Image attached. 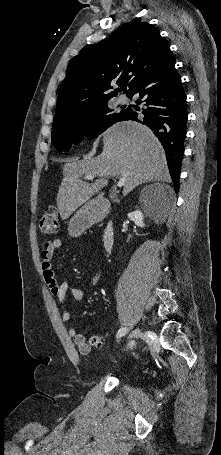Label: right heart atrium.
Here are the masks:
<instances>
[{"mask_svg": "<svg viewBox=\"0 0 221 455\" xmlns=\"http://www.w3.org/2000/svg\"><path fill=\"white\" fill-rule=\"evenodd\" d=\"M87 135H88L89 137H91V139L93 138V128H92V127H90V128L88 129Z\"/></svg>", "mask_w": 221, "mask_h": 455, "instance_id": "obj_1", "label": "right heart atrium"}]
</instances>
